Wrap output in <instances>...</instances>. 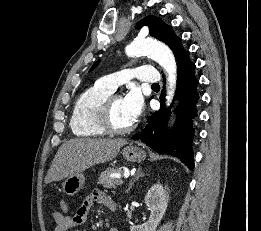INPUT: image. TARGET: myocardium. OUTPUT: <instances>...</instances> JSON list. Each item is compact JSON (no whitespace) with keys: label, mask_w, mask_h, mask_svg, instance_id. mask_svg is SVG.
I'll return each instance as SVG.
<instances>
[{"label":"myocardium","mask_w":261,"mask_h":231,"mask_svg":"<svg viewBox=\"0 0 261 231\" xmlns=\"http://www.w3.org/2000/svg\"><path fill=\"white\" fill-rule=\"evenodd\" d=\"M119 98H121L120 95L111 94L103 102L98 112L97 120L99 126L110 134H126L133 131L137 125L136 121L126 127H118L115 125L112 118V106L114 101Z\"/></svg>","instance_id":"obj_1"}]
</instances>
